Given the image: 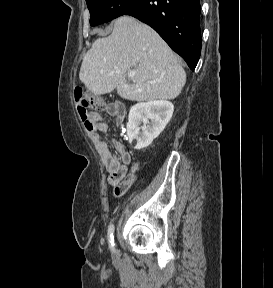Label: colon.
<instances>
[{"instance_id": "5ec220e1", "label": "colon", "mask_w": 273, "mask_h": 288, "mask_svg": "<svg viewBox=\"0 0 273 288\" xmlns=\"http://www.w3.org/2000/svg\"><path fill=\"white\" fill-rule=\"evenodd\" d=\"M74 98L82 122L88 131H92L96 123L97 114L95 111L104 109L105 105L103 100L97 97L86 96L81 88L75 89Z\"/></svg>"}]
</instances>
